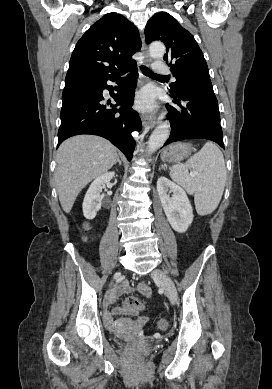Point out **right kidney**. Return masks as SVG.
<instances>
[{"mask_svg": "<svg viewBox=\"0 0 272 389\" xmlns=\"http://www.w3.org/2000/svg\"><path fill=\"white\" fill-rule=\"evenodd\" d=\"M115 176L114 172H108L97 177L90 185L83 201V215L86 219H94L101 208L102 196L100 192L102 186L107 184Z\"/></svg>", "mask_w": 272, "mask_h": 389, "instance_id": "ca27d5eb", "label": "right kidney"}]
</instances>
